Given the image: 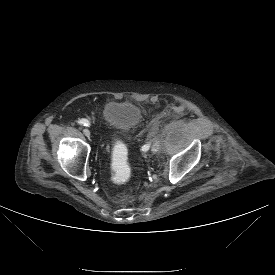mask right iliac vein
Listing matches in <instances>:
<instances>
[{
	"mask_svg": "<svg viewBox=\"0 0 275 275\" xmlns=\"http://www.w3.org/2000/svg\"><path fill=\"white\" fill-rule=\"evenodd\" d=\"M83 133L85 136L90 137V131L87 128L83 129Z\"/></svg>",
	"mask_w": 275,
	"mask_h": 275,
	"instance_id": "1",
	"label": "right iliac vein"
}]
</instances>
